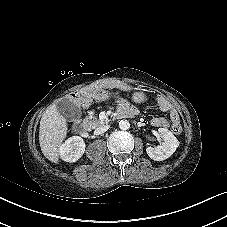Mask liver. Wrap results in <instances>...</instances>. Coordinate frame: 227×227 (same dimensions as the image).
I'll use <instances>...</instances> for the list:
<instances>
[{
	"instance_id": "obj_1",
	"label": "liver",
	"mask_w": 227,
	"mask_h": 227,
	"mask_svg": "<svg viewBox=\"0 0 227 227\" xmlns=\"http://www.w3.org/2000/svg\"><path fill=\"white\" fill-rule=\"evenodd\" d=\"M67 131V121L57 106H49L40 121L39 143L43 155L53 163L59 160V147L65 140Z\"/></svg>"
}]
</instances>
